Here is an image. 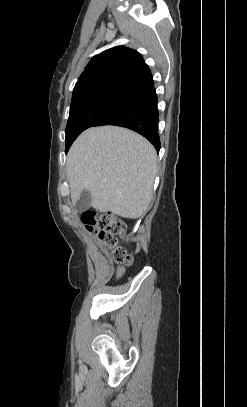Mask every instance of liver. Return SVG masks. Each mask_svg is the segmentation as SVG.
Instances as JSON below:
<instances>
[{
	"label": "liver",
	"instance_id": "6515ba94",
	"mask_svg": "<svg viewBox=\"0 0 247 407\" xmlns=\"http://www.w3.org/2000/svg\"><path fill=\"white\" fill-rule=\"evenodd\" d=\"M157 154L141 135L122 127H92L71 146L67 177L73 205L83 190L94 209L136 219L149 206Z\"/></svg>",
	"mask_w": 247,
	"mask_h": 407
}]
</instances>
